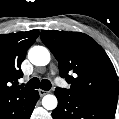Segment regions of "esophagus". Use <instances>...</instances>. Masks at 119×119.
<instances>
[{
  "mask_svg": "<svg viewBox=\"0 0 119 119\" xmlns=\"http://www.w3.org/2000/svg\"><path fill=\"white\" fill-rule=\"evenodd\" d=\"M38 92H39V95H40L41 97L44 96L45 94H47V91L42 90V89H39Z\"/></svg>",
  "mask_w": 119,
  "mask_h": 119,
  "instance_id": "1",
  "label": "esophagus"
}]
</instances>
